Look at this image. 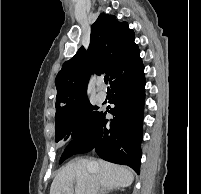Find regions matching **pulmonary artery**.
I'll return each instance as SVG.
<instances>
[{"mask_svg": "<svg viewBox=\"0 0 201 194\" xmlns=\"http://www.w3.org/2000/svg\"><path fill=\"white\" fill-rule=\"evenodd\" d=\"M100 87L102 88V83H100ZM107 98V94L104 90H101L98 95H97V99L99 102H104Z\"/></svg>", "mask_w": 201, "mask_h": 194, "instance_id": "pulmonary-artery-1", "label": "pulmonary artery"}]
</instances>
